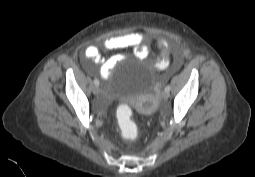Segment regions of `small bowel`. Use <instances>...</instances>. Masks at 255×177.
I'll list each match as a JSON object with an SVG mask.
<instances>
[{
	"instance_id": "1",
	"label": "small bowel",
	"mask_w": 255,
	"mask_h": 177,
	"mask_svg": "<svg viewBox=\"0 0 255 177\" xmlns=\"http://www.w3.org/2000/svg\"><path fill=\"white\" fill-rule=\"evenodd\" d=\"M103 45L109 50L134 48L139 57H146L149 53V46L145 42V36L141 32H130L118 36L109 37L104 40ZM123 60V55L116 54L108 58H102L97 46L90 45L85 49L83 61L89 69L88 62L100 65V76L106 79L110 76L115 65Z\"/></svg>"
}]
</instances>
